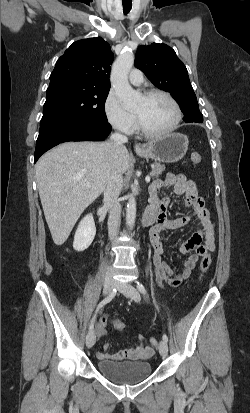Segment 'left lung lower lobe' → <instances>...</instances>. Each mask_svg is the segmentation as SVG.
Returning a JSON list of instances; mask_svg holds the SVG:
<instances>
[{
    "mask_svg": "<svg viewBox=\"0 0 250 413\" xmlns=\"http://www.w3.org/2000/svg\"><path fill=\"white\" fill-rule=\"evenodd\" d=\"M183 120L186 123L203 122V117L202 116H197V115H194V114H189V115H184Z\"/></svg>",
    "mask_w": 250,
    "mask_h": 413,
    "instance_id": "obj_1",
    "label": "left lung lower lobe"
}]
</instances>
